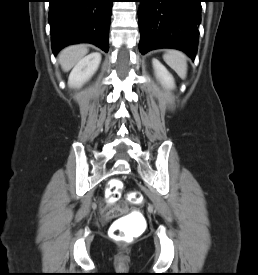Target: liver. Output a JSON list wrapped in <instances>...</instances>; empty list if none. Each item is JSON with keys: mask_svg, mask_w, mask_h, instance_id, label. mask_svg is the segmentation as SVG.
<instances>
[{"mask_svg": "<svg viewBox=\"0 0 258 275\" xmlns=\"http://www.w3.org/2000/svg\"><path fill=\"white\" fill-rule=\"evenodd\" d=\"M88 49L85 45H72L63 49L58 60L64 71H69L76 63H78L86 54Z\"/></svg>", "mask_w": 258, "mask_h": 275, "instance_id": "obj_1", "label": "liver"}]
</instances>
